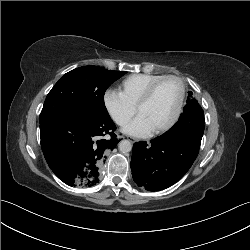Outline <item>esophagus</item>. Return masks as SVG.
<instances>
[{
  "label": "esophagus",
  "instance_id": "1",
  "mask_svg": "<svg viewBox=\"0 0 250 250\" xmlns=\"http://www.w3.org/2000/svg\"><path fill=\"white\" fill-rule=\"evenodd\" d=\"M127 138H128V140H130L132 143L137 142V139H135V138H132V137H127Z\"/></svg>",
  "mask_w": 250,
  "mask_h": 250
}]
</instances>
